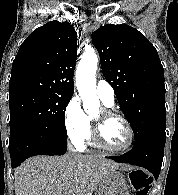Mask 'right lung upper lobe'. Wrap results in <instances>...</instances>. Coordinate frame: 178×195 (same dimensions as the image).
<instances>
[{
  "instance_id": "right-lung-upper-lobe-1",
  "label": "right lung upper lobe",
  "mask_w": 178,
  "mask_h": 195,
  "mask_svg": "<svg viewBox=\"0 0 178 195\" xmlns=\"http://www.w3.org/2000/svg\"><path fill=\"white\" fill-rule=\"evenodd\" d=\"M77 34L69 22L51 21L21 44L12 64L10 96L25 91L71 94Z\"/></svg>"
}]
</instances>
